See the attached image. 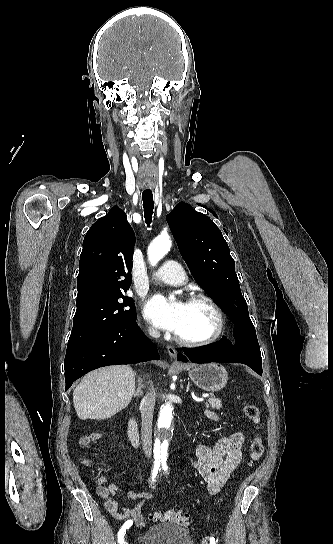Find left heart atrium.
Segmentation results:
<instances>
[{
  "instance_id": "obj_1",
  "label": "left heart atrium",
  "mask_w": 333,
  "mask_h": 544,
  "mask_svg": "<svg viewBox=\"0 0 333 544\" xmlns=\"http://www.w3.org/2000/svg\"><path fill=\"white\" fill-rule=\"evenodd\" d=\"M185 308L186 304L181 301L171 303L162 296H155L146 305L145 315L157 327L178 332Z\"/></svg>"
}]
</instances>
